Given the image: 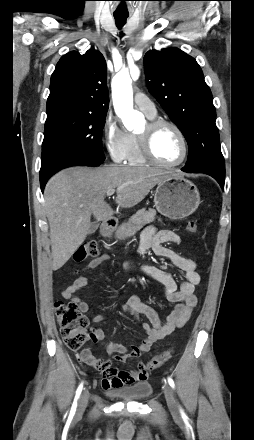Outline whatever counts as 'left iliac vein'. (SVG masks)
Listing matches in <instances>:
<instances>
[{
    "instance_id": "obj_1",
    "label": "left iliac vein",
    "mask_w": 254,
    "mask_h": 440,
    "mask_svg": "<svg viewBox=\"0 0 254 440\" xmlns=\"http://www.w3.org/2000/svg\"><path fill=\"white\" fill-rule=\"evenodd\" d=\"M164 394H165L168 408L171 411V413L178 414L179 410H178V406H177L172 388L170 386L166 385L164 388Z\"/></svg>"
}]
</instances>
